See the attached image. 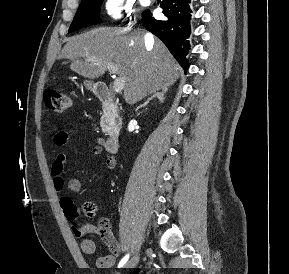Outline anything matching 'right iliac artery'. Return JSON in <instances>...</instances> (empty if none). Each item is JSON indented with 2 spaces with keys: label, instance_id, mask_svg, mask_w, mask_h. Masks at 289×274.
<instances>
[{
  "label": "right iliac artery",
  "instance_id": "right-iliac-artery-1",
  "mask_svg": "<svg viewBox=\"0 0 289 274\" xmlns=\"http://www.w3.org/2000/svg\"><path fill=\"white\" fill-rule=\"evenodd\" d=\"M129 259V254L125 255L122 260L119 262L118 267H122Z\"/></svg>",
  "mask_w": 289,
  "mask_h": 274
}]
</instances>
